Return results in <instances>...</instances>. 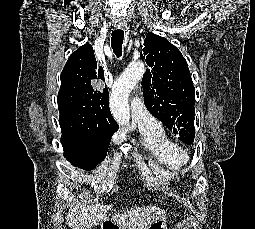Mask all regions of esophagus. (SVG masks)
<instances>
[{
	"mask_svg": "<svg viewBox=\"0 0 255 229\" xmlns=\"http://www.w3.org/2000/svg\"><path fill=\"white\" fill-rule=\"evenodd\" d=\"M115 27H116L117 29H121V28L124 27V23H123V22H116V23H115Z\"/></svg>",
	"mask_w": 255,
	"mask_h": 229,
	"instance_id": "obj_1",
	"label": "esophagus"
}]
</instances>
